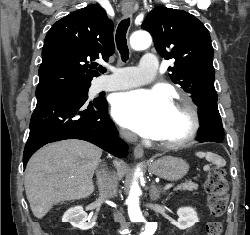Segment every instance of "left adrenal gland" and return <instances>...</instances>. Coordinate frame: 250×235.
Wrapping results in <instances>:
<instances>
[{"label": "left adrenal gland", "mask_w": 250, "mask_h": 235, "mask_svg": "<svg viewBox=\"0 0 250 235\" xmlns=\"http://www.w3.org/2000/svg\"><path fill=\"white\" fill-rule=\"evenodd\" d=\"M163 193V191L155 186V183L153 182L151 185L150 190V197L152 201H157L160 198V194Z\"/></svg>", "instance_id": "left-adrenal-gland-1"}]
</instances>
